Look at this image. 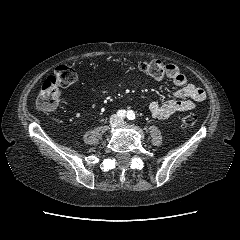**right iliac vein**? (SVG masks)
<instances>
[{"mask_svg":"<svg viewBox=\"0 0 240 240\" xmlns=\"http://www.w3.org/2000/svg\"><path fill=\"white\" fill-rule=\"evenodd\" d=\"M117 125H118V119H117V117L111 118V120H110V126L113 128V127H116Z\"/></svg>","mask_w":240,"mask_h":240,"instance_id":"obj_1","label":"right iliac vein"}]
</instances>
